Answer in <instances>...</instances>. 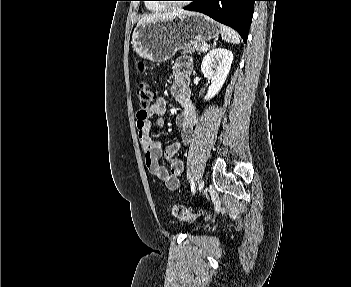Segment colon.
I'll list each match as a JSON object with an SVG mask.
<instances>
[{
  "label": "colon",
  "instance_id": "5ec220e1",
  "mask_svg": "<svg viewBox=\"0 0 351 287\" xmlns=\"http://www.w3.org/2000/svg\"><path fill=\"white\" fill-rule=\"evenodd\" d=\"M138 69L144 71V64L139 63ZM155 95L154 89L149 84L142 82L138 85L137 96L142 107H148L154 101ZM170 212L175 218L181 220H192L201 213L199 210L176 204L170 206Z\"/></svg>",
  "mask_w": 351,
  "mask_h": 287
}]
</instances>
